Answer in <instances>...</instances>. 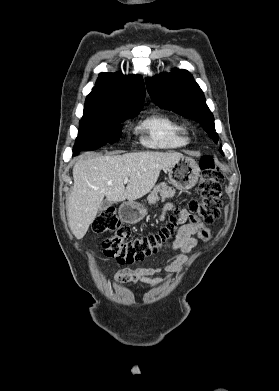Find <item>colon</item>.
Segmentation results:
<instances>
[{
	"mask_svg": "<svg viewBox=\"0 0 279 391\" xmlns=\"http://www.w3.org/2000/svg\"><path fill=\"white\" fill-rule=\"evenodd\" d=\"M201 178L198 186L199 199L187 204L190 219L202 224H211L220 217L222 209L221 186L223 175L212 158L200 162ZM180 209L156 232L131 237L129 227L122 224L115 208L105 209L93 222V229L98 233L110 232L111 236L102 241L104 254L120 264L142 261L167 247L178 227ZM202 239L208 240L211 233L203 228L199 232Z\"/></svg>",
	"mask_w": 279,
	"mask_h": 391,
	"instance_id": "1",
	"label": "colon"
}]
</instances>
